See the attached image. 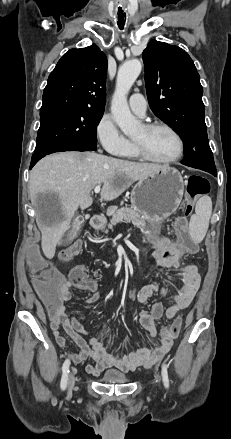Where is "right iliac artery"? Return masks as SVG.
<instances>
[{
	"mask_svg": "<svg viewBox=\"0 0 231 439\" xmlns=\"http://www.w3.org/2000/svg\"><path fill=\"white\" fill-rule=\"evenodd\" d=\"M70 360L66 359L62 366V378H61V389L65 390L67 387L68 373H69Z\"/></svg>",
	"mask_w": 231,
	"mask_h": 439,
	"instance_id": "82829eb1",
	"label": "right iliac artery"
}]
</instances>
